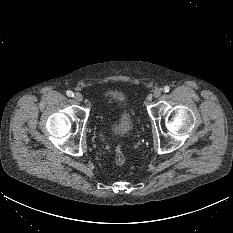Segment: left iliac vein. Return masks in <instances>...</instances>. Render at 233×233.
I'll return each mask as SVG.
<instances>
[{
	"label": "left iliac vein",
	"mask_w": 233,
	"mask_h": 233,
	"mask_svg": "<svg viewBox=\"0 0 233 233\" xmlns=\"http://www.w3.org/2000/svg\"><path fill=\"white\" fill-rule=\"evenodd\" d=\"M161 94H162V90L160 88L155 89L153 92V96L155 98H159L161 96Z\"/></svg>",
	"instance_id": "left-iliac-vein-1"
}]
</instances>
